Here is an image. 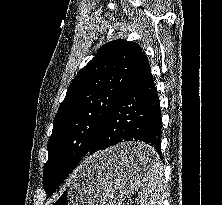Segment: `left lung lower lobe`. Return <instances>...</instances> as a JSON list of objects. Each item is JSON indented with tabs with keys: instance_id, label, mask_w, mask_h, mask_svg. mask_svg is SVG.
Here are the masks:
<instances>
[{
	"instance_id": "obj_1",
	"label": "left lung lower lobe",
	"mask_w": 222,
	"mask_h": 205,
	"mask_svg": "<svg viewBox=\"0 0 222 205\" xmlns=\"http://www.w3.org/2000/svg\"><path fill=\"white\" fill-rule=\"evenodd\" d=\"M161 128L158 93L148 59L143 54L89 151L85 155L67 152L57 160V170L62 175L48 196L53 194L83 157L121 142L142 141L154 147L153 152L137 150L127 153L123 160L131 165L151 164L155 151L163 158L160 149Z\"/></svg>"
}]
</instances>
